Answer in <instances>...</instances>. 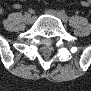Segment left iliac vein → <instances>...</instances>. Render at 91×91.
<instances>
[{
	"mask_svg": "<svg viewBox=\"0 0 91 91\" xmlns=\"http://www.w3.org/2000/svg\"><path fill=\"white\" fill-rule=\"evenodd\" d=\"M46 13L51 14V15L57 17V18L62 19L61 16H60V14H59V12H57V11H55V10L49 9V10H46Z\"/></svg>",
	"mask_w": 91,
	"mask_h": 91,
	"instance_id": "left-iliac-vein-1",
	"label": "left iliac vein"
}]
</instances>
